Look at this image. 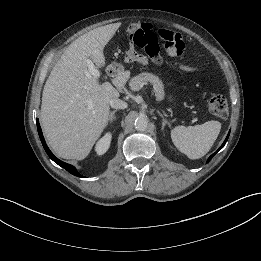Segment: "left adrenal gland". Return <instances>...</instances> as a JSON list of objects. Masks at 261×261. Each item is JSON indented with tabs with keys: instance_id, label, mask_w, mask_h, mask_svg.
I'll return each mask as SVG.
<instances>
[{
	"instance_id": "a2214340",
	"label": "left adrenal gland",
	"mask_w": 261,
	"mask_h": 261,
	"mask_svg": "<svg viewBox=\"0 0 261 261\" xmlns=\"http://www.w3.org/2000/svg\"><path fill=\"white\" fill-rule=\"evenodd\" d=\"M159 116L162 118V130H164L165 126L168 125L170 127V122L168 120L165 119V117L163 116V114H161L158 111Z\"/></svg>"
}]
</instances>
